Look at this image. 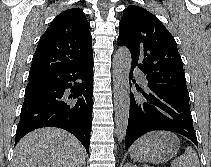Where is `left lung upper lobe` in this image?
<instances>
[{
    "instance_id": "left-lung-upper-lobe-1",
    "label": "left lung upper lobe",
    "mask_w": 211,
    "mask_h": 167,
    "mask_svg": "<svg viewBox=\"0 0 211 167\" xmlns=\"http://www.w3.org/2000/svg\"><path fill=\"white\" fill-rule=\"evenodd\" d=\"M118 43L131 52L132 67L146 75L149 86L190 100L176 41L161 21L146 9L129 6L119 23Z\"/></svg>"
}]
</instances>
